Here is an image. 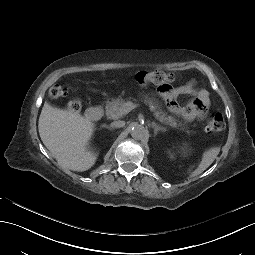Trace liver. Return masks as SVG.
<instances>
[{"label":"liver","mask_w":255,"mask_h":255,"mask_svg":"<svg viewBox=\"0 0 255 255\" xmlns=\"http://www.w3.org/2000/svg\"><path fill=\"white\" fill-rule=\"evenodd\" d=\"M38 130L44 146L61 167L85 172L95 165L97 155L88 149L95 130L90 119L45 102Z\"/></svg>","instance_id":"obj_1"}]
</instances>
